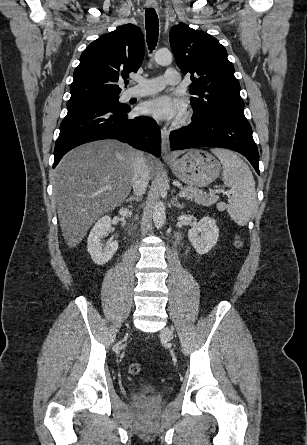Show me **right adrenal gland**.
<instances>
[{
	"label": "right adrenal gland",
	"instance_id": "2a0ac1e0",
	"mask_svg": "<svg viewBox=\"0 0 307 445\" xmlns=\"http://www.w3.org/2000/svg\"><path fill=\"white\" fill-rule=\"evenodd\" d=\"M141 198L142 196H129V198H126V202H130V200H137V202H139Z\"/></svg>",
	"mask_w": 307,
	"mask_h": 445
}]
</instances>
